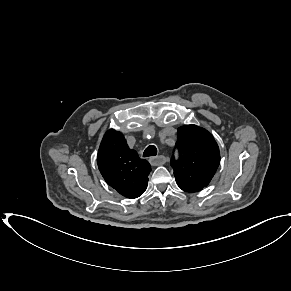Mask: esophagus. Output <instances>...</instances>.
<instances>
[{"mask_svg": "<svg viewBox=\"0 0 291 291\" xmlns=\"http://www.w3.org/2000/svg\"><path fill=\"white\" fill-rule=\"evenodd\" d=\"M166 157L163 156V155H159V156H154V157H151L149 159V162L151 165L153 166H159V165H163L166 163Z\"/></svg>", "mask_w": 291, "mask_h": 291, "instance_id": "34e87169", "label": "esophagus"}]
</instances>
